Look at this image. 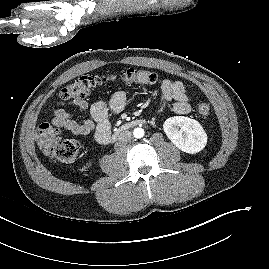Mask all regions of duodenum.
<instances>
[{
    "label": "duodenum",
    "mask_w": 269,
    "mask_h": 269,
    "mask_svg": "<svg viewBox=\"0 0 269 269\" xmlns=\"http://www.w3.org/2000/svg\"><path fill=\"white\" fill-rule=\"evenodd\" d=\"M145 123H146L145 119H132L130 121H126L116 129V131L113 133L111 137V140H115L122 132L130 128L144 125Z\"/></svg>",
    "instance_id": "410a0bca"
}]
</instances>
